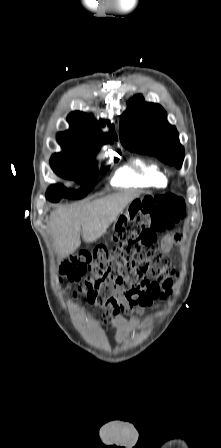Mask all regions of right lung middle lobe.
<instances>
[{
	"mask_svg": "<svg viewBox=\"0 0 221 448\" xmlns=\"http://www.w3.org/2000/svg\"><path fill=\"white\" fill-rule=\"evenodd\" d=\"M114 161H118V158H115ZM50 164L57 175L79 182L82 181L84 184L77 191L68 190L60 184L52 185L46 192V198L49 201L58 202L63 197L69 199L83 198L95 185L98 174L95 173L97 167L94 158H80L66 153H57L52 156ZM108 169L109 167L102 168L100 170L101 174Z\"/></svg>",
	"mask_w": 221,
	"mask_h": 448,
	"instance_id": "1",
	"label": "right lung middle lobe"
}]
</instances>
